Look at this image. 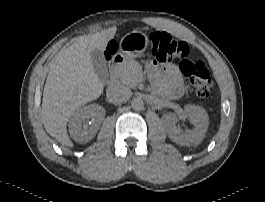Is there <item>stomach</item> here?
Segmentation results:
<instances>
[{"label": "stomach", "instance_id": "0dacf381", "mask_svg": "<svg viewBox=\"0 0 265 202\" xmlns=\"http://www.w3.org/2000/svg\"><path fill=\"white\" fill-rule=\"evenodd\" d=\"M149 40L141 31H132L122 37L119 44V54L123 59L141 56L147 49Z\"/></svg>", "mask_w": 265, "mask_h": 202}]
</instances>
